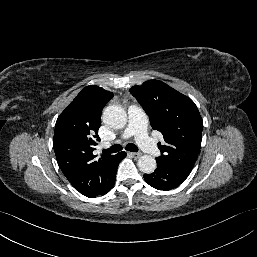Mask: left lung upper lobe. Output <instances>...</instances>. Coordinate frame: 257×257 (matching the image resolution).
Instances as JSON below:
<instances>
[{"label":"left lung upper lobe","mask_w":257,"mask_h":257,"mask_svg":"<svg viewBox=\"0 0 257 257\" xmlns=\"http://www.w3.org/2000/svg\"><path fill=\"white\" fill-rule=\"evenodd\" d=\"M149 116L151 126L163 134L161 156L156 161L190 174L202 139L203 122L195 103L187 96L159 80L130 88Z\"/></svg>","instance_id":"obj_1"}]
</instances>
